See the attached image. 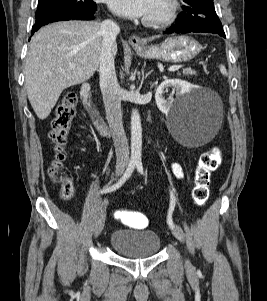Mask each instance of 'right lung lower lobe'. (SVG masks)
I'll list each match as a JSON object with an SVG mask.
<instances>
[{
  "mask_svg": "<svg viewBox=\"0 0 267 301\" xmlns=\"http://www.w3.org/2000/svg\"><path fill=\"white\" fill-rule=\"evenodd\" d=\"M97 11V6L93 9L82 11V12H70V11H60L51 13L36 19V22L33 26L32 35L37 31L41 26L46 25L51 22L56 21H65V20H91L94 19V14Z\"/></svg>",
  "mask_w": 267,
  "mask_h": 301,
  "instance_id": "98d812e1",
  "label": "right lung lower lobe"
}]
</instances>
